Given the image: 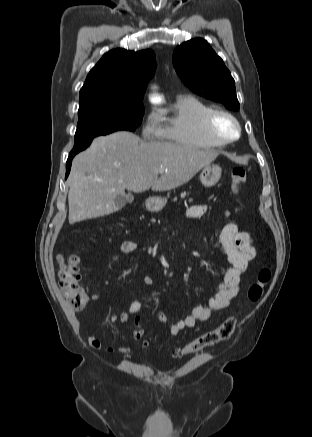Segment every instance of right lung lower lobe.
Segmentation results:
<instances>
[{"mask_svg":"<svg viewBox=\"0 0 312 437\" xmlns=\"http://www.w3.org/2000/svg\"><path fill=\"white\" fill-rule=\"evenodd\" d=\"M74 156H75V155H70V156L68 157V160H67V162H66V177H65V178H67L68 175H69V173H70L71 162H72V159H73Z\"/></svg>","mask_w":312,"mask_h":437,"instance_id":"98d812e1","label":"right lung lower lobe"}]
</instances>
